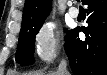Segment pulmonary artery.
Instances as JSON below:
<instances>
[{
	"mask_svg": "<svg viewBox=\"0 0 107 75\" xmlns=\"http://www.w3.org/2000/svg\"><path fill=\"white\" fill-rule=\"evenodd\" d=\"M69 14L72 17L76 18L79 15V10L76 7L72 6V7L69 8Z\"/></svg>",
	"mask_w": 107,
	"mask_h": 75,
	"instance_id": "pulmonary-artery-1",
	"label": "pulmonary artery"
}]
</instances>
